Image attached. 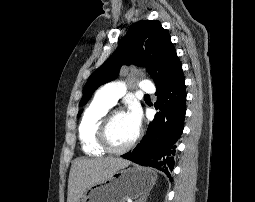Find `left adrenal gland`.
Returning a JSON list of instances; mask_svg holds the SVG:
<instances>
[{"mask_svg":"<svg viewBox=\"0 0 255 202\" xmlns=\"http://www.w3.org/2000/svg\"><path fill=\"white\" fill-rule=\"evenodd\" d=\"M146 200H147V196H143L137 202H146Z\"/></svg>","mask_w":255,"mask_h":202,"instance_id":"obj_1","label":"left adrenal gland"}]
</instances>
